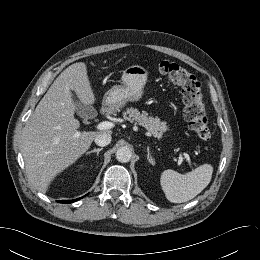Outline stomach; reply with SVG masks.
<instances>
[{"mask_svg": "<svg viewBox=\"0 0 260 260\" xmlns=\"http://www.w3.org/2000/svg\"><path fill=\"white\" fill-rule=\"evenodd\" d=\"M147 70L140 65L127 67L122 74V85H115L104 95V104L111 108H120L129 101H138L147 81Z\"/></svg>", "mask_w": 260, "mask_h": 260, "instance_id": "obj_1", "label": "stomach"}]
</instances>
